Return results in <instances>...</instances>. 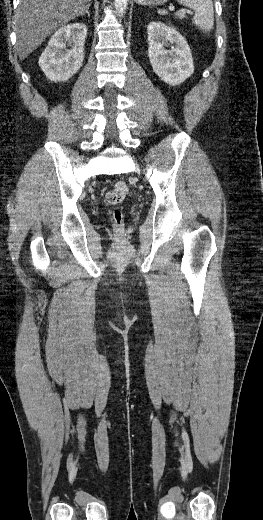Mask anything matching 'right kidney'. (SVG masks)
<instances>
[{"mask_svg":"<svg viewBox=\"0 0 263 520\" xmlns=\"http://www.w3.org/2000/svg\"><path fill=\"white\" fill-rule=\"evenodd\" d=\"M87 27L73 23L61 27L48 42L39 58V66L52 82L67 81L81 68Z\"/></svg>","mask_w":263,"mask_h":520,"instance_id":"obj_1","label":"right kidney"}]
</instances>
